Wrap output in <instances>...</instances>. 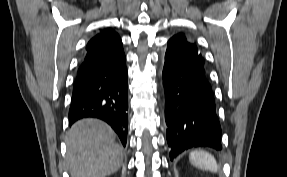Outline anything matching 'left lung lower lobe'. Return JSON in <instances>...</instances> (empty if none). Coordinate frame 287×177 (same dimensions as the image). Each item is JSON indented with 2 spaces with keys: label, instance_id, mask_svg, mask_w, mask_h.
<instances>
[{
  "label": "left lung lower lobe",
  "instance_id": "0a47b994",
  "mask_svg": "<svg viewBox=\"0 0 287 177\" xmlns=\"http://www.w3.org/2000/svg\"><path fill=\"white\" fill-rule=\"evenodd\" d=\"M163 84L170 159L191 147L221 149V128L204 64L185 55L173 39L168 41Z\"/></svg>",
  "mask_w": 287,
  "mask_h": 177
}]
</instances>
